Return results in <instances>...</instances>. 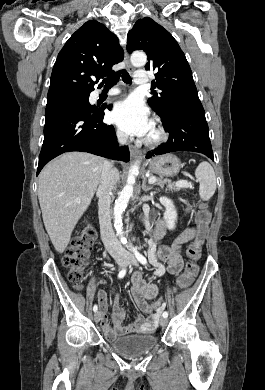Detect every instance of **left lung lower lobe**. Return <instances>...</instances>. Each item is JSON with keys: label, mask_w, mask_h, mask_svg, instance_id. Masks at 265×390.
<instances>
[{"label": "left lung lower lobe", "mask_w": 265, "mask_h": 390, "mask_svg": "<svg viewBox=\"0 0 265 390\" xmlns=\"http://www.w3.org/2000/svg\"><path fill=\"white\" fill-rule=\"evenodd\" d=\"M162 122L169 132V139L149 152L146 158L177 151H192L214 160L205 111L200 100L174 104L169 116Z\"/></svg>", "instance_id": "0a47b994"}]
</instances>
